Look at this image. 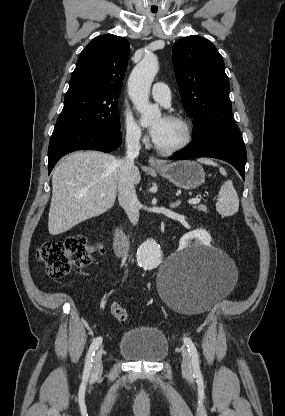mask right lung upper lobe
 Listing matches in <instances>:
<instances>
[{"label": "right lung upper lobe", "mask_w": 285, "mask_h": 416, "mask_svg": "<svg viewBox=\"0 0 285 416\" xmlns=\"http://www.w3.org/2000/svg\"><path fill=\"white\" fill-rule=\"evenodd\" d=\"M129 56V42L116 35L92 40L80 53L66 95L118 97Z\"/></svg>", "instance_id": "cb5924a9"}]
</instances>
